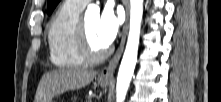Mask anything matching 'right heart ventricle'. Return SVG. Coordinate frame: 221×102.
I'll return each mask as SVG.
<instances>
[{
    "instance_id": "right-heart-ventricle-1",
    "label": "right heart ventricle",
    "mask_w": 221,
    "mask_h": 102,
    "mask_svg": "<svg viewBox=\"0 0 221 102\" xmlns=\"http://www.w3.org/2000/svg\"><path fill=\"white\" fill-rule=\"evenodd\" d=\"M83 5L66 0L54 14L47 31L51 62L61 68L83 65L77 45V31Z\"/></svg>"
}]
</instances>
